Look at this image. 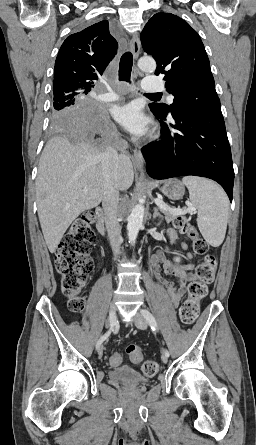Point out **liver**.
I'll return each instance as SVG.
<instances>
[{
	"label": "liver",
	"mask_w": 256,
	"mask_h": 445,
	"mask_svg": "<svg viewBox=\"0 0 256 445\" xmlns=\"http://www.w3.org/2000/svg\"><path fill=\"white\" fill-rule=\"evenodd\" d=\"M102 154L97 144L86 139L73 144L66 137L58 136L47 142L38 167L36 198L41 229L51 253L70 224L81 213L101 203ZM133 180L130 158L119 155L118 188L127 190Z\"/></svg>",
	"instance_id": "6515ba94"
}]
</instances>
